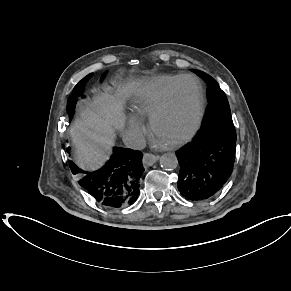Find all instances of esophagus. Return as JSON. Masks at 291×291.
I'll use <instances>...</instances> for the list:
<instances>
[{
    "label": "esophagus",
    "instance_id": "obj_1",
    "mask_svg": "<svg viewBox=\"0 0 291 291\" xmlns=\"http://www.w3.org/2000/svg\"><path fill=\"white\" fill-rule=\"evenodd\" d=\"M159 159V156L151 154V153H145L143 155V164L144 166H152L157 160Z\"/></svg>",
    "mask_w": 291,
    "mask_h": 291
}]
</instances>
